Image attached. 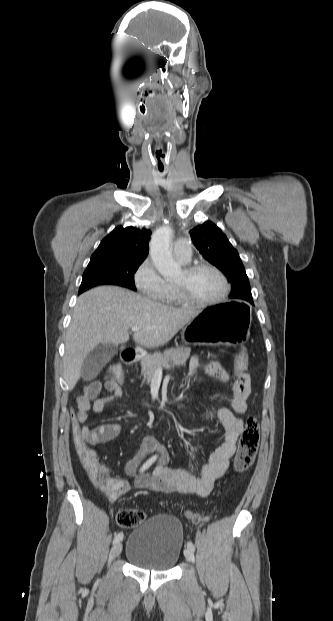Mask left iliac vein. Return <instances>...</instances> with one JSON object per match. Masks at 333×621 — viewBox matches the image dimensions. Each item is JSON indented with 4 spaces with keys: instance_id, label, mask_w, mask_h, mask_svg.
Masks as SVG:
<instances>
[{
    "instance_id": "obj_1",
    "label": "left iliac vein",
    "mask_w": 333,
    "mask_h": 621,
    "mask_svg": "<svg viewBox=\"0 0 333 621\" xmlns=\"http://www.w3.org/2000/svg\"><path fill=\"white\" fill-rule=\"evenodd\" d=\"M184 555L186 557L187 560H189L190 562H194V553L191 549L187 548L184 550Z\"/></svg>"
}]
</instances>
